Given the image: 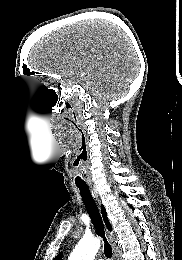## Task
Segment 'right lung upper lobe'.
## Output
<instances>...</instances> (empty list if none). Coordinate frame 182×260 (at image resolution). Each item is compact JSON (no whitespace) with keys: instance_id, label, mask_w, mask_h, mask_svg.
Masks as SVG:
<instances>
[{"instance_id":"1","label":"right lung upper lobe","mask_w":182,"mask_h":260,"mask_svg":"<svg viewBox=\"0 0 182 260\" xmlns=\"http://www.w3.org/2000/svg\"><path fill=\"white\" fill-rule=\"evenodd\" d=\"M101 213H102V217H103V220H104V222H105L107 228H108L109 230H111V225H110V223H109V221H108L107 213H106V210H105V208H104L103 205H101ZM61 258H62V252H60V253L58 254V256H57L54 260H61Z\"/></svg>"}]
</instances>
